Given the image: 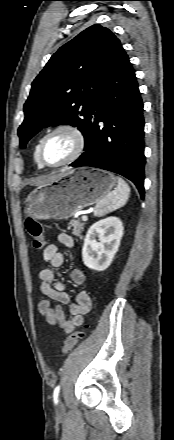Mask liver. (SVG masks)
Returning a JSON list of instances; mask_svg holds the SVG:
<instances>
[{
    "instance_id": "liver-1",
    "label": "liver",
    "mask_w": 174,
    "mask_h": 440,
    "mask_svg": "<svg viewBox=\"0 0 174 440\" xmlns=\"http://www.w3.org/2000/svg\"><path fill=\"white\" fill-rule=\"evenodd\" d=\"M55 177H56V176H55ZM55 177H51V178L45 179V180H43V181H39L37 184H38V185L45 184V183H47L48 181L54 179Z\"/></svg>"
}]
</instances>
